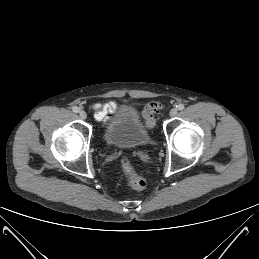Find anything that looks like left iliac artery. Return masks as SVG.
I'll return each instance as SVG.
<instances>
[{
	"label": "left iliac artery",
	"instance_id": "obj_1",
	"mask_svg": "<svg viewBox=\"0 0 259 259\" xmlns=\"http://www.w3.org/2000/svg\"><path fill=\"white\" fill-rule=\"evenodd\" d=\"M177 108H178V110H183L184 109V104H178Z\"/></svg>",
	"mask_w": 259,
	"mask_h": 259
}]
</instances>
